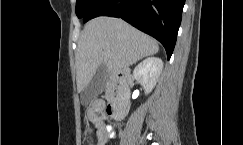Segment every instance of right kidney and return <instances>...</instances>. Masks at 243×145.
I'll list each match as a JSON object with an SVG mask.
<instances>
[{
    "mask_svg": "<svg viewBox=\"0 0 243 145\" xmlns=\"http://www.w3.org/2000/svg\"><path fill=\"white\" fill-rule=\"evenodd\" d=\"M163 69V61L158 57H148L134 69L133 75L145 91L149 94L155 87Z\"/></svg>",
    "mask_w": 243,
    "mask_h": 145,
    "instance_id": "1",
    "label": "right kidney"
}]
</instances>
